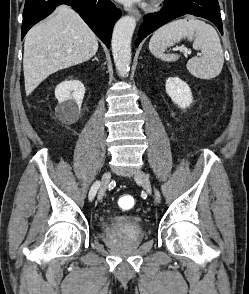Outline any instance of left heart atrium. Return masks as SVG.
Masks as SVG:
<instances>
[{
  "mask_svg": "<svg viewBox=\"0 0 249 294\" xmlns=\"http://www.w3.org/2000/svg\"><path fill=\"white\" fill-rule=\"evenodd\" d=\"M119 2L125 3V4H130L134 2H141L143 0H118Z\"/></svg>",
  "mask_w": 249,
  "mask_h": 294,
  "instance_id": "39dd6f15",
  "label": "left heart atrium"
}]
</instances>
